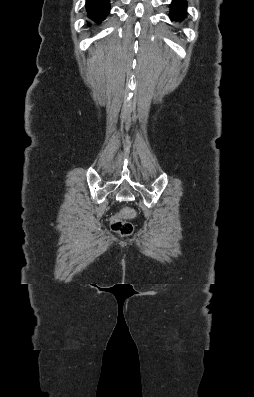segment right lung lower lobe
Segmentation results:
<instances>
[{
	"label": "right lung lower lobe",
	"instance_id": "right-lung-lower-lobe-1",
	"mask_svg": "<svg viewBox=\"0 0 254 397\" xmlns=\"http://www.w3.org/2000/svg\"><path fill=\"white\" fill-rule=\"evenodd\" d=\"M86 11L88 18L99 24L109 14V0H86Z\"/></svg>",
	"mask_w": 254,
	"mask_h": 397
}]
</instances>
